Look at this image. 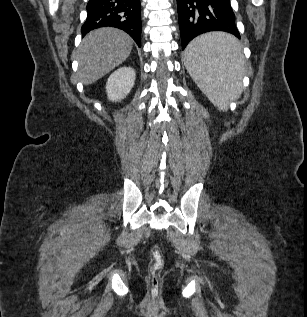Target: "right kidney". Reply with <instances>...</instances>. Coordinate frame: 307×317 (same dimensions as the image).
<instances>
[{
    "instance_id": "right-kidney-1",
    "label": "right kidney",
    "mask_w": 307,
    "mask_h": 317,
    "mask_svg": "<svg viewBox=\"0 0 307 317\" xmlns=\"http://www.w3.org/2000/svg\"><path fill=\"white\" fill-rule=\"evenodd\" d=\"M136 72L131 67H121L113 72L106 83L108 99L113 102L121 101L131 91L135 82Z\"/></svg>"
}]
</instances>
